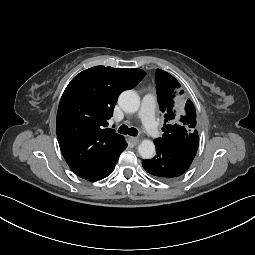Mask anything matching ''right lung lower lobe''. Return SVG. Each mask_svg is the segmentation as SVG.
I'll return each mask as SVG.
<instances>
[{
  "mask_svg": "<svg viewBox=\"0 0 255 255\" xmlns=\"http://www.w3.org/2000/svg\"><path fill=\"white\" fill-rule=\"evenodd\" d=\"M121 152H119L116 156H114L112 159H110L107 163H104L101 166H99L92 173H90L86 176H82L81 178H84L89 181H98V180H101V179L107 177L108 175H110L113 172Z\"/></svg>",
  "mask_w": 255,
  "mask_h": 255,
  "instance_id": "98d812e1",
  "label": "right lung lower lobe"
}]
</instances>
